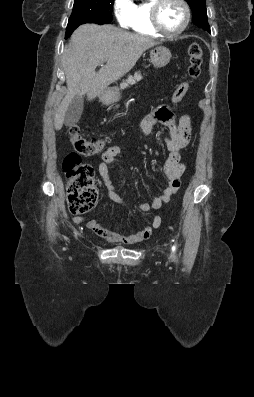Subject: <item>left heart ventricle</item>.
I'll list each match as a JSON object with an SVG mask.
<instances>
[{
	"label": "left heart ventricle",
	"mask_w": 254,
	"mask_h": 397,
	"mask_svg": "<svg viewBox=\"0 0 254 397\" xmlns=\"http://www.w3.org/2000/svg\"><path fill=\"white\" fill-rule=\"evenodd\" d=\"M184 20V9L177 0H166L160 9L162 27L170 32L178 30Z\"/></svg>",
	"instance_id": "1"
}]
</instances>
